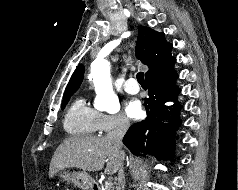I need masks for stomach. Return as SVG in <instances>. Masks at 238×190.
<instances>
[{"label": "stomach", "instance_id": "0dacf381", "mask_svg": "<svg viewBox=\"0 0 238 190\" xmlns=\"http://www.w3.org/2000/svg\"><path fill=\"white\" fill-rule=\"evenodd\" d=\"M58 177L61 181L73 183L76 187L81 190H93L94 179L84 171H69L62 169L58 172Z\"/></svg>", "mask_w": 238, "mask_h": 190}]
</instances>
